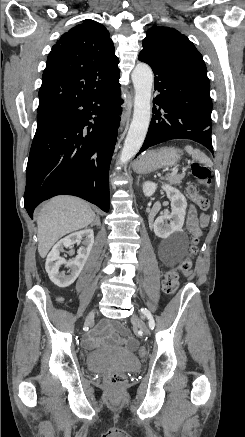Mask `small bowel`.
<instances>
[{"label": "small bowel", "mask_w": 245, "mask_h": 437, "mask_svg": "<svg viewBox=\"0 0 245 437\" xmlns=\"http://www.w3.org/2000/svg\"><path fill=\"white\" fill-rule=\"evenodd\" d=\"M208 224V216L200 215L196 213L195 209L191 207L188 211L186 226L190 233L194 235H201V229ZM117 331L108 323H103L100 330L107 337L112 338L115 341L121 342L128 349H133L136 346V341L129 335V332L124 328L116 327ZM120 335L122 337H120ZM89 345H94L96 340L93 337L87 339Z\"/></svg>", "instance_id": "1"}]
</instances>
